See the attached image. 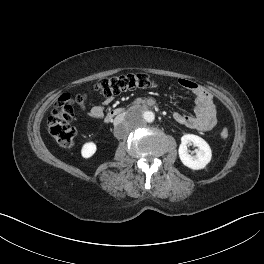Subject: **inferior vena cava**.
Instances as JSON below:
<instances>
[{
	"label": "inferior vena cava",
	"mask_w": 264,
	"mask_h": 264,
	"mask_svg": "<svg viewBox=\"0 0 264 264\" xmlns=\"http://www.w3.org/2000/svg\"><path fill=\"white\" fill-rule=\"evenodd\" d=\"M123 121H124V117H122V116H117V117H115V119H114V124H115V126H116V125H118V124L123 123Z\"/></svg>",
	"instance_id": "obj_1"
}]
</instances>
